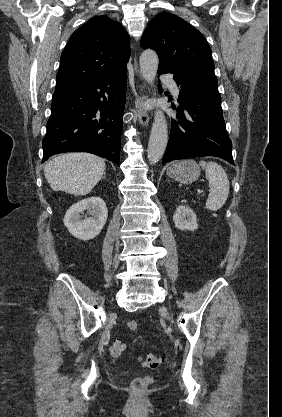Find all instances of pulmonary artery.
I'll return each instance as SVG.
<instances>
[{"label": "pulmonary artery", "instance_id": "obj_1", "mask_svg": "<svg viewBox=\"0 0 282 417\" xmlns=\"http://www.w3.org/2000/svg\"><path fill=\"white\" fill-rule=\"evenodd\" d=\"M158 81H159V83H168V81H169L168 74H159ZM169 86H170V88H171V90L173 92V95L175 97H177L178 94H179V90H178L177 85L174 83V81H170L169 82Z\"/></svg>", "mask_w": 282, "mask_h": 417}]
</instances>
